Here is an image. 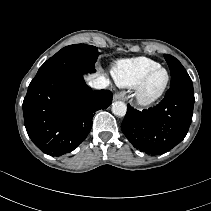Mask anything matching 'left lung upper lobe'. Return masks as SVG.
<instances>
[{
  "instance_id": "obj_1",
  "label": "left lung upper lobe",
  "mask_w": 211,
  "mask_h": 211,
  "mask_svg": "<svg viewBox=\"0 0 211 211\" xmlns=\"http://www.w3.org/2000/svg\"><path fill=\"white\" fill-rule=\"evenodd\" d=\"M164 58L170 68L171 84L170 88L185 87L193 88L192 81L182 64L173 56L164 54Z\"/></svg>"
}]
</instances>
